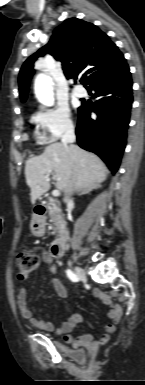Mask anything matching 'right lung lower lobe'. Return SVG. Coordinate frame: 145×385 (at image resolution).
<instances>
[{"label": "right lung lower lobe", "mask_w": 145, "mask_h": 385, "mask_svg": "<svg viewBox=\"0 0 145 385\" xmlns=\"http://www.w3.org/2000/svg\"><path fill=\"white\" fill-rule=\"evenodd\" d=\"M88 90L95 91L96 101L93 105L83 103L78 108L77 142L83 149L99 155L115 173L126 145L133 102L128 65L95 82ZM92 108L97 114L95 119L90 117Z\"/></svg>", "instance_id": "right-lung-lower-lobe-1"}]
</instances>
